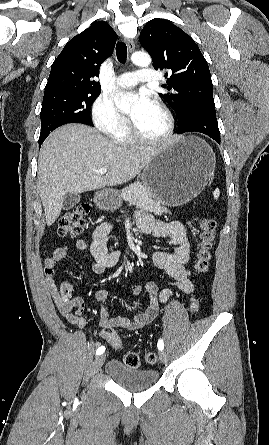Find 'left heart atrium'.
<instances>
[{
	"label": "left heart atrium",
	"mask_w": 269,
	"mask_h": 445,
	"mask_svg": "<svg viewBox=\"0 0 269 445\" xmlns=\"http://www.w3.org/2000/svg\"><path fill=\"white\" fill-rule=\"evenodd\" d=\"M153 105V101L148 94L145 92H140L136 99V111L138 113L147 110Z\"/></svg>",
	"instance_id": "39dd6f15"
}]
</instances>
